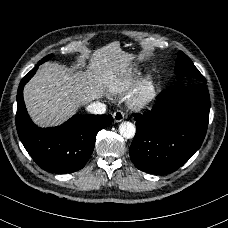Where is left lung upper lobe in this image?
Masks as SVG:
<instances>
[{
    "label": "left lung upper lobe",
    "instance_id": "1",
    "mask_svg": "<svg viewBox=\"0 0 228 228\" xmlns=\"http://www.w3.org/2000/svg\"><path fill=\"white\" fill-rule=\"evenodd\" d=\"M175 74L177 77H188L190 83H206V79L194 66L190 58L185 55L182 51L178 52V58L175 66Z\"/></svg>",
    "mask_w": 228,
    "mask_h": 228
}]
</instances>
